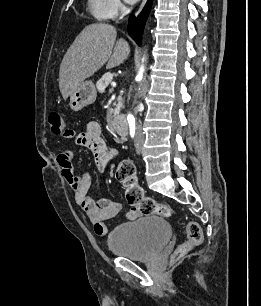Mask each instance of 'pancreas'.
Returning <instances> with one entry per match:
<instances>
[{"label":"pancreas","instance_id":"1","mask_svg":"<svg viewBox=\"0 0 261 306\" xmlns=\"http://www.w3.org/2000/svg\"><path fill=\"white\" fill-rule=\"evenodd\" d=\"M113 79V74L108 72L105 73L101 79H99L96 83V87L98 89L99 92H104L106 87L112 82Z\"/></svg>","mask_w":261,"mask_h":306}]
</instances>
